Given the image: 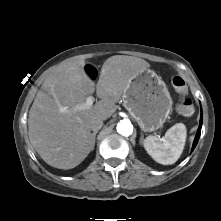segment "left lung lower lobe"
I'll return each mask as SVG.
<instances>
[{
  "instance_id": "left-lung-lower-lobe-1",
  "label": "left lung lower lobe",
  "mask_w": 221,
  "mask_h": 221,
  "mask_svg": "<svg viewBox=\"0 0 221 221\" xmlns=\"http://www.w3.org/2000/svg\"><path fill=\"white\" fill-rule=\"evenodd\" d=\"M201 126H202V115H201V117H200L199 128H198V131H197V134H196L195 140H194V142H193L192 151H193V149L196 147L197 142H198V140H199V137H200V134H201Z\"/></svg>"
}]
</instances>
